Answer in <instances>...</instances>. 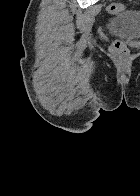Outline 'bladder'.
Segmentation results:
<instances>
[{
    "mask_svg": "<svg viewBox=\"0 0 140 196\" xmlns=\"http://www.w3.org/2000/svg\"><path fill=\"white\" fill-rule=\"evenodd\" d=\"M118 20L113 27L121 36L137 38L140 36V15L134 11L123 10L117 13Z\"/></svg>",
    "mask_w": 140,
    "mask_h": 196,
    "instance_id": "bladder-1",
    "label": "bladder"
}]
</instances>
